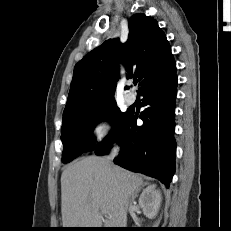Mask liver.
Returning <instances> with one entry per match:
<instances>
[{
	"instance_id": "6515ba94",
	"label": "liver",
	"mask_w": 231,
	"mask_h": 231,
	"mask_svg": "<svg viewBox=\"0 0 231 231\" xmlns=\"http://www.w3.org/2000/svg\"><path fill=\"white\" fill-rule=\"evenodd\" d=\"M142 185L140 176L107 158L89 156L73 162L61 175L63 228H125L127 204Z\"/></svg>"
}]
</instances>
